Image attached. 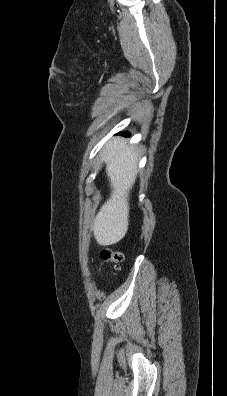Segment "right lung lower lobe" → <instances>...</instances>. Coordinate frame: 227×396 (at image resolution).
<instances>
[{
	"instance_id": "right-lung-lower-lobe-1",
	"label": "right lung lower lobe",
	"mask_w": 227,
	"mask_h": 396,
	"mask_svg": "<svg viewBox=\"0 0 227 396\" xmlns=\"http://www.w3.org/2000/svg\"><path fill=\"white\" fill-rule=\"evenodd\" d=\"M122 134H124V135H128V132H124V133H122Z\"/></svg>"
}]
</instances>
